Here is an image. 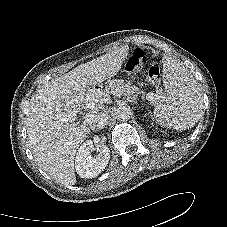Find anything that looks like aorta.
<instances>
[{
	"label": "aorta",
	"instance_id": "1",
	"mask_svg": "<svg viewBox=\"0 0 227 227\" xmlns=\"http://www.w3.org/2000/svg\"><path fill=\"white\" fill-rule=\"evenodd\" d=\"M114 114L117 120L126 121L130 119L132 112L128 107L120 106L115 110Z\"/></svg>",
	"mask_w": 227,
	"mask_h": 227
}]
</instances>
